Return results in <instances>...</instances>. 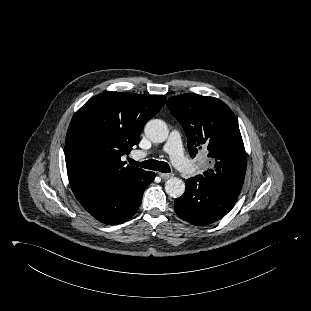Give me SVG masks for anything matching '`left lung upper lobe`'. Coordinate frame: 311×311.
Wrapping results in <instances>:
<instances>
[{
    "label": "left lung upper lobe",
    "instance_id": "left-lung-upper-lobe-1",
    "mask_svg": "<svg viewBox=\"0 0 311 311\" xmlns=\"http://www.w3.org/2000/svg\"><path fill=\"white\" fill-rule=\"evenodd\" d=\"M167 106L184 128L191 158L204 152L211 168L201 176L239 196L246 153L238 122L221 100L187 93L169 98Z\"/></svg>",
    "mask_w": 311,
    "mask_h": 311
}]
</instances>
